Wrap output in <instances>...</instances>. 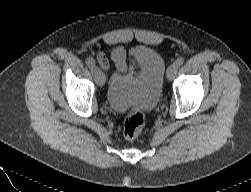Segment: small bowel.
Masks as SVG:
<instances>
[{"mask_svg":"<svg viewBox=\"0 0 251 192\" xmlns=\"http://www.w3.org/2000/svg\"><path fill=\"white\" fill-rule=\"evenodd\" d=\"M100 65L107 69L109 62L103 54H99L97 57ZM111 59L114 62L119 72L124 73L127 70L126 52L122 47H116L111 53Z\"/></svg>","mask_w":251,"mask_h":192,"instance_id":"small-bowel-1","label":"small bowel"}]
</instances>
